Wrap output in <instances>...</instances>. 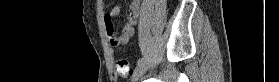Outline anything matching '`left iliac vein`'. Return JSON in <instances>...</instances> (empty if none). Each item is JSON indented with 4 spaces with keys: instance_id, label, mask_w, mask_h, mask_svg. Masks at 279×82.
Returning a JSON list of instances; mask_svg holds the SVG:
<instances>
[{
    "instance_id": "left-iliac-vein-1",
    "label": "left iliac vein",
    "mask_w": 279,
    "mask_h": 82,
    "mask_svg": "<svg viewBox=\"0 0 279 82\" xmlns=\"http://www.w3.org/2000/svg\"><path fill=\"white\" fill-rule=\"evenodd\" d=\"M147 66L146 64H138L136 66V68L134 69L133 75H132V80L136 81L138 80L140 77H142L146 71H147Z\"/></svg>"
}]
</instances>
